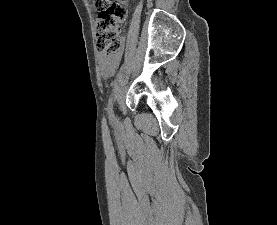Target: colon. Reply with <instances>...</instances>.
Returning <instances> with one entry per match:
<instances>
[{
    "label": "colon",
    "instance_id": "colon-1",
    "mask_svg": "<svg viewBox=\"0 0 277 225\" xmlns=\"http://www.w3.org/2000/svg\"><path fill=\"white\" fill-rule=\"evenodd\" d=\"M90 5L98 12L95 20L98 51L103 55L119 53L123 45L120 31L126 21V8L115 0H90Z\"/></svg>",
    "mask_w": 277,
    "mask_h": 225
}]
</instances>
